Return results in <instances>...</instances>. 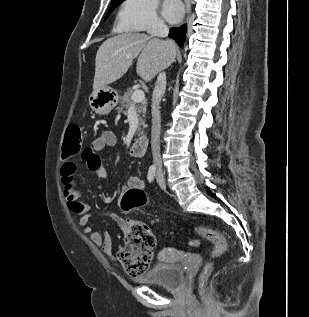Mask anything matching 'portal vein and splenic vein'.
Masks as SVG:
<instances>
[{
    "mask_svg": "<svg viewBox=\"0 0 309 317\" xmlns=\"http://www.w3.org/2000/svg\"><path fill=\"white\" fill-rule=\"evenodd\" d=\"M145 99V94L142 90L137 89L132 93L131 100L134 103L142 102Z\"/></svg>",
    "mask_w": 309,
    "mask_h": 317,
    "instance_id": "1",
    "label": "portal vein and splenic vein"
}]
</instances>
